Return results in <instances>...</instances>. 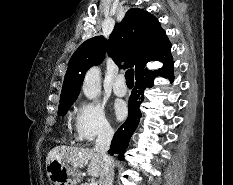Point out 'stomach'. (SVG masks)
Returning a JSON list of instances; mask_svg holds the SVG:
<instances>
[{"mask_svg": "<svg viewBox=\"0 0 233 185\" xmlns=\"http://www.w3.org/2000/svg\"><path fill=\"white\" fill-rule=\"evenodd\" d=\"M47 175L53 185H77L80 173L67 163L51 160L46 164Z\"/></svg>", "mask_w": 233, "mask_h": 185, "instance_id": "obj_1", "label": "stomach"}]
</instances>
